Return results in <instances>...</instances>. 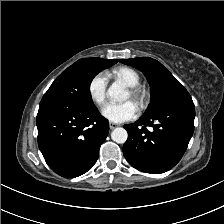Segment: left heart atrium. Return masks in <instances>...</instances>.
Here are the masks:
<instances>
[{
    "instance_id": "obj_1",
    "label": "left heart atrium",
    "mask_w": 224,
    "mask_h": 224,
    "mask_svg": "<svg viewBox=\"0 0 224 224\" xmlns=\"http://www.w3.org/2000/svg\"><path fill=\"white\" fill-rule=\"evenodd\" d=\"M102 115L111 122L121 123L133 120L138 115L135 103L131 100L123 103H108L102 109Z\"/></svg>"
}]
</instances>
